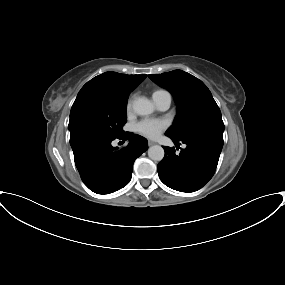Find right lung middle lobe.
<instances>
[{
    "mask_svg": "<svg viewBox=\"0 0 285 285\" xmlns=\"http://www.w3.org/2000/svg\"><path fill=\"white\" fill-rule=\"evenodd\" d=\"M127 101L87 95L74 102L68 128L70 144L86 137L118 138L127 121Z\"/></svg>",
    "mask_w": 285,
    "mask_h": 285,
    "instance_id": "1",
    "label": "right lung middle lobe"
}]
</instances>
